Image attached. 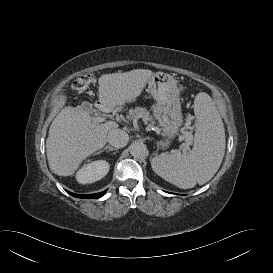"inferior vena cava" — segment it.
<instances>
[{"mask_svg": "<svg viewBox=\"0 0 273 273\" xmlns=\"http://www.w3.org/2000/svg\"><path fill=\"white\" fill-rule=\"evenodd\" d=\"M107 141L117 149L123 148L129 141L128 134L121 129H112L107 135Z\"/></svg>", "mask_w": 273, "mask_h": 273, "instance_id": "602c4592", "label": "inferior vena cava"}]
</instances>
